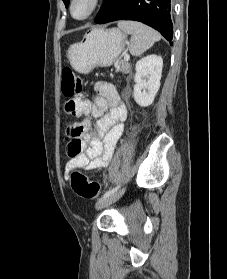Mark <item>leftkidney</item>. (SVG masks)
I'll list each match as a JSON object with an SVG mask.
<instances>
[{
    "label": "left kidney",
    "instance_id": "1",
    "mask_svg": "<svg viewBox=\"0 0 227 279\" xmlns=\"http://www.w3.org/2000/svg\"><path fill=\"white\" fill-rule=\"evenodd\" d=\"M163 68L162 57L148 55L137 61L133 97L138 105H151L160 87Z\"/></svg>",
    "mask_w": 227,
    "mask_h": 279
}]
</instances>
